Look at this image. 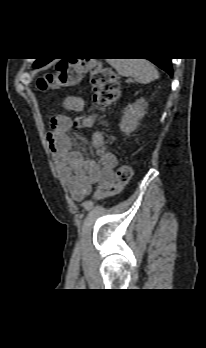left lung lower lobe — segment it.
<instances>
[{"mask_svg": "<svg viewBox=\"0 0 206 348\" xmlns=\"http://www.w3.org/2000/svg\"><path fill=\"white\" fill-rule=\"evenodd\" d=\"M155 65L166 71L170 76L173 75V69L171 66L170 58H157V59H149Z\"/></svg>", "mask_w": 206, "mask_h": 348, "instance_id": "0a47b994", "label": "left lung lower lobe"}]
</instances>
